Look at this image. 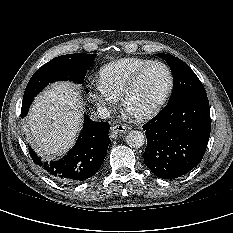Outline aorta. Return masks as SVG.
Returning <instances> with one entry per match:
<instances>
[{
    "instance_id": "aorta-1",
    "label": "aorta",
    "mask_w": 233,
    "mask_h": 233,
    "mask_svg": "<svg viewBox=\"0 0 233 233\" xmlns=\"http://www.w3.org/2000/svg\"><path fill=\"white\" fill-rule=\"evenodd\" d=\"M125 141L129 147L140 148L145 143V135L141 131L131 130L127 133Z\"/></svg>"
}]
</instances>
